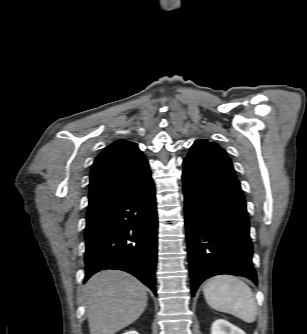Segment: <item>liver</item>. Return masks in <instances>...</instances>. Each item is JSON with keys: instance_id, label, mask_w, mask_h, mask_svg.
I'll return each mask as SVG.
<instances>
[{"instance_id": "obj_1", "label": "liver", "mask_w": 307, "mask_h": 334, "mask_svg": "<svg viewBox=\"0 0 307 334\" xmlns=\"http://www.w3.org/2000/svg\"><path fill=\"white\" fill-rule=\"evenodd\" d=\"M90 334H115L135 322L147 306L145 286L132 275L100 271L83 287Z\"/></svg>"}]
</instances>
